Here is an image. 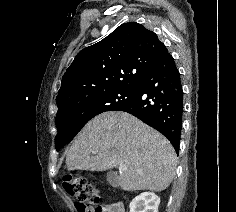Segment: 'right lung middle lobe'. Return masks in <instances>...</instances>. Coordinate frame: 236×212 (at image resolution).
Segmentation results:
<instances>
[{
    "label": "right lung middle lobe",
    "mask_w": 236,
    "mask_h": 212,
    "mask_svg": "<svg viewBox=\"0 0 236 212\" xmlns=\"http://www.w3.org/2000/svg\"><path fill=\"white\" fill-rule=\"evenodd\" d=\"M137 89V85L115 88L87 96L59 109L55 118L57 151L69 143L90 119L102 112L117 110L132 101Z\"/></svg>",
    "instance_id": "dd1d6c3e"
}]
</instances>
